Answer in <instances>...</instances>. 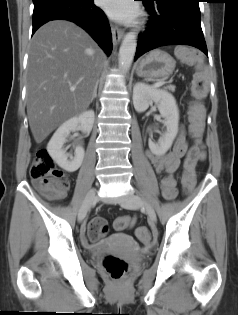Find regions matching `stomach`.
I'll list each match as a JSON object with an SVG mask.
<instances>
[{"mask_svg":"<svg viewBox=\"0 0 238 315\" xmlns=\"http://www.w3.org/2000/svg\"><path fill=\"white\" fill-rule=\"evenodd\" d=\"M175 60L160 49L151 51L138 63L136 73L140 77L165 78L175 69Z\"/></svg>","mask_w":238,"mask_h":315,"instance_id":"0dacf381","label":"stomach"}]
</instances>
